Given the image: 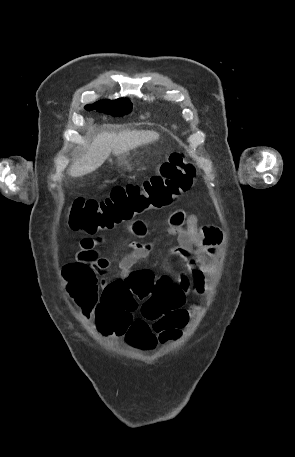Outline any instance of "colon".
Here are the masks:
<instances>
[{"label":"colon","mask_w":295,"mask_h":457,"mask_svg":"<svg viewBox=\"0 0 295 457\" xmlns=\"http://www.w3.org/2000/svg\"><path fill=\"white\" fill-rule=\"evenodd\" d=\"M195 167L183 152H174L159 172L141 184L114 187L102 199L77 198L68 214L73 231L89 235L129 223L149 210L172 206L193 182ZM87 262L66 264L63 276L68 290L86 314L95 313L97 326L106 335L125 337L136 353L146 355L157 342L177 338L188 320V312L175 297L177 288L169 277L137 269L125 280L107 283L98 299L97 272ZM137 300H143V319L132 318ZM148 322H152L151 326Z\"/></svg>","instance_id":"1"}]
</instances>
